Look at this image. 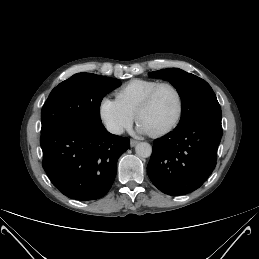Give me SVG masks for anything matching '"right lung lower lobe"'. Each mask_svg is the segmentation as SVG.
Masks as SVG:
<instances>
[{"mask_svg": "<svg viewBox=\"0 0 259 259\" xmlns=\"http://www.w3.org/2000/svg\"><path fill=\"white\" fill-rule=\"evenodd\" d=\"M43 168L65 196L94 201L111 188L117 160L129 139L109 133L102 124H61L41 132Z\"/></svg>", "mask_w": 259, "mask_h": 259, "instance_id": "98d812e1", "label": "right lung lower lobe"}]
</instances>
